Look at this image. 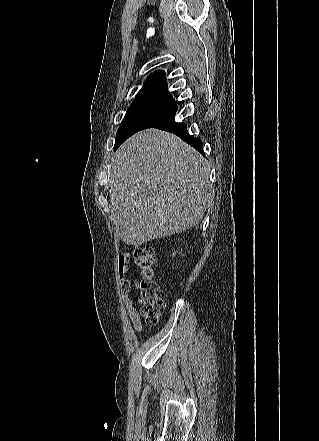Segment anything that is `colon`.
Returning <instances> with one entry per match:
<instances>
[{
    "instance_id": "colon-1",
    "label": "colon",
    "mask_w": 319,
    "mask_h": 441,
    "mask_svg": "<svg viewBox=\"0 0 319 441\" xmlns=\"http://www.w3.org/2000/svg\"><path fill=\"white\" fill-rule=\"evenodd\" d=\"M133 261L139 269L135 289L140 311L145 322L154 325L158 322L165 308L164 293L156 279L154 249L149 245L136 247L133 251ZM120 276L124 277L121 265Z\"/></svg>"
}]
</instances>
